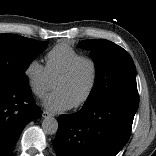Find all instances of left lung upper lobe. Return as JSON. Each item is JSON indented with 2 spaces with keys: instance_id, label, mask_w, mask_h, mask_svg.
<instances>
[{
  "instance_id": "obj_1",
  "label": "left lung upper lobe",
  "mask_w": 156,
  "mask_h": 156,
  "mask_svg": "<svg viewBox=\"0 0 156 156\" xmlns=\"http://www.w3.org/2000/svg\"><path fill=\"white\" fill-rule=\"evenodd\" d=\"M79 46L90 51L96 69L95 84L84 106L112 98L139 102L136 68L127 51L104 39L83 40Z\"/></svg>"
}]
</instances>
